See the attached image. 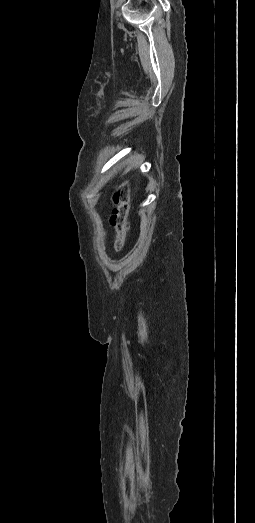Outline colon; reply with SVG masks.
<instances>
[{
  "instance_id": "1",
  "label": "colon",
  "mask_w": 255,
  "mask_h": 523,
  "mask_svg": "<svg viewBox=\"0 0 255 523\" xmlns=\"http://www.w3.org/2000/svg\"><path fill=\"white\" fill-rule=\"evenodd\" d=\"M112 201L115 205V209L110 217V223L116 232L114 248L116 251H120L124 247L126 238L130 231L128 222L130 188L127 183H122L115 189Z\"/></svg>"
}]
</instances>
